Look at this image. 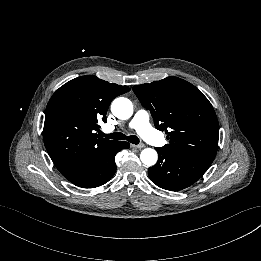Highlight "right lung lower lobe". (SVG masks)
Wrapping results in <instances>:
<instances>
[{"mask_svg":"<svg viewBox=\"0 0 261 261\" xmlns=\"http://www.w3.org/2000/svg\"><path fill=\"white\" fill-rule=\"evenodd\" d=\"M129 147V143L121 142L114 149L100 154L97 158L88 161L78 169L63 175L70 182L82 188L101 186L115 174V155L122 149Z\"/></svg>","mask_w":261,"mask_h":261,"instance_id":"98d812e1","label":"right lung lower lobe"}]
</instances>
